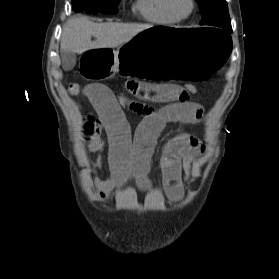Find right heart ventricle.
<instances>
[{"label": "right heart ventricle", "mask_w": 279, "mask_h": 279, "mask_svg": "<svg viewBox=\"0 0 279 279\" xmlns=\"http://www.w3.org/2000/svg\"><path fill=\"white\" fill-rule=\"evenodd\" d=\"M136 12L146 21L169 25L177 22L165 9V0H136L134 4Z\"/></svg>", "instance_id": "e07e8e85"}]
</instances>
